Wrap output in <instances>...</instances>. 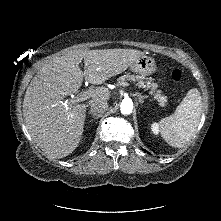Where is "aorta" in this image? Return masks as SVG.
<instances>
[{
    "label": "aorta",
    "mask_w": 221,
    "mask_h": 221,
    "mask_svg": "<svg viewBox=\"0 0 221 221\" xmlns=\"http://www.w3.org/2000/svg\"><path fill=\"white\" fill-rule=\"evenodd\" d=\"M121 113L124 115H128L132 113L133 110V103L129 99H124L121 103Z\"/></svg>",
    "instance_id": "obj_1"
}]
</instances>
